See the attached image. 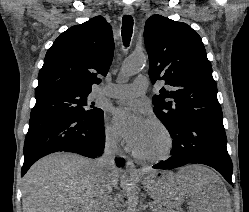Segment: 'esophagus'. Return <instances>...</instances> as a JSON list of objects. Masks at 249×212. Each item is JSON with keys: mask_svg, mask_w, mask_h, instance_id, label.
Wrapping results in <instances>:
<instances>
[{"mask_svg": "<svg viewBox=\"0 0 249 212\" xmlns=\"http://www.w3.org/2000/svg\"><path fill=\"white\" fill-rule=\"evenodd\" d=\"M123 12H124L126 15H133L134 9H133V7H125V8L123 9ZM125 171H126V173L129 174V175H141V172H139V171L136 169V166H135L134 162H132V160H127L126 166H125Z\"/></svg>", "mask_w": 249, "mask_h": 212, "instance_id": "obj_1", "label": "esophagus"}]
</instances>
